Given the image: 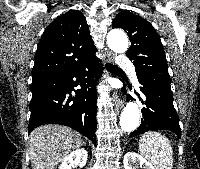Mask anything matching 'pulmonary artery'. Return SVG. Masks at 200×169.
Returning <instances> with one entry per match:
<instances>
[{
    "label": "pulmonary artery",
    "instance_id": "pulmonary-artery-1",
    "mask_svg": "<svg viewBox=\"0 0 200 169\" xmlns=\"http://www.w3.org/2000/svg\"><path fill=\"white\" fill-rule=\"evenodd\" d=\"M117 63H118V65H120V66H125V67H127V66H129L130 61H129V59H127L126 57L120 56V57L118 58V60H117ZM128 68H129V72H130L131 76L136 80V74H135L134 68H132L131 66L128 67Z\"/></svg>",
    "mask_w": 200,
    "mask_h": 169
}]
</instances>
